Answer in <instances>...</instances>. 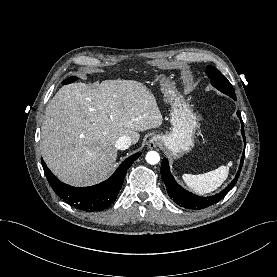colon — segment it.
<instances>
[{
  "mask_svg": "<svg viewBox=\"0 0 277 277\" xmlns=\"http://www.w3.org/2000/svg\"><path fill=\"white\" fill-rule=\"evenodd\" d=\"M75 82V78L74 77H68L64 80L63 84L65 85H69Z\"/></svg>",
  "mask_w": 277,
  "mask_h": 277,
  "instance_id": "colon-1",
  "label": "colon"
}]
</instances>
